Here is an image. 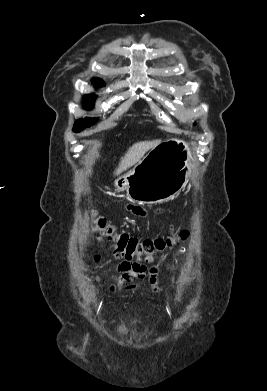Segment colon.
<instances>
[{
	"label": "colon",
	"instance_id": "1",
	"mask_svg": "<svg viewBox=\"0 0 267 391\" xmlns=\"http://www.w3.org/2000/svg\"><path fill=\"white\" fill-rule=\"evenodd\" d=\"M91 217L95 223V232L99 233L102 239L111 242L115 256L126 264H136L146 268L147 265L154 262L157 255H162L177 241L174 238H154L141 241L127 233H117L106 218L98 215L95 211L91 212ZM187 236L186 230L180 234L181 239H186Z\"/></svg>",
	"mask_w": 267,
	"mask_h": 391
}]
</instances>
